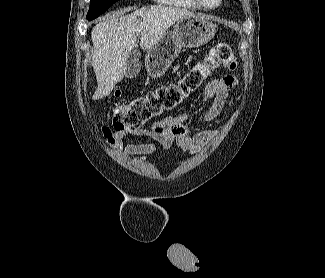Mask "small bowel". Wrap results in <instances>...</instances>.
<instances>
[{
	"label": "small bowel",
	"instance_id": "small-bowel-1",
	"mask_svg": "<svg viewBox=\"0 0 325 278\" xmlns=\"http://www.w3.org/2000/svg\"><path fill=\"white\" fill-rule=\"evenodd\" d=\"M238 87V80L233 76L210 79L202 90V96L204 101H211V105L201 117L200 122L208 123L215 120L221 114L229 93ZM188 117L187 114L167 117L156 121L150 128L116 132L114 140L121 144L127 138L145 136L157 141L164 150L175 143L183 152H196L203 149L217 131L209 129L191 134L187 126ZM124 151L143 161L146 156L156 153L158 148L153 143H135L127 144Z\"/></svg>",
	"mask_w": 325,
	"mask_h": 278
}]
</instances>
